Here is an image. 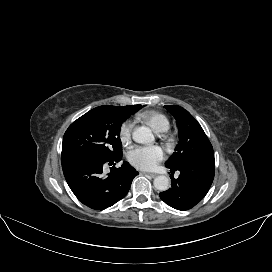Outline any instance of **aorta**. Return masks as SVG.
Instances as JSON below:
<instances>
[{
	"label": "aorta",
	"instance_id": "obj_1",
	"mask_svg": "<svg viewBox=\"0 0 272 272\" xmlns=\"http://www.w3.org/2000/svg\"><path fill=\"white\" fill-rule=\"evenodd\" d=\"M154 139V135L149 127L140 126L133 132V140L137 143L148 144L152 143ZM153 184L158 191H166L169 188L170 181L168 177L160 175L154 179Z\"/></svg>",
	"mask_w": 272,
	"mask_h": 272
}]
</instances>
